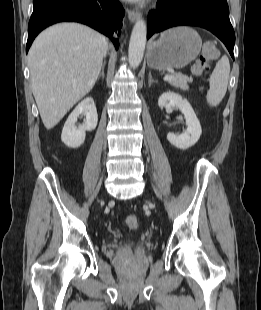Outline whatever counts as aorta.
Instances as JSON below:
<instances>
[{
	"label": "aorta",
	"mask_w": 261,
	"mask_h": 310,
	"mask_svg": "<svg viewBox=\"0 0 261 310\" xmlns=\"http://www.w3.org/2000/svg\"><path fill=\"white\" fill-rule=\"evenodd\" d=\"M147 25L144 20H137L130 37L128 58L132 68H137L144 56Z\"/></svg>",
	"instance_id": "762f6f07"
}]
</instances>
